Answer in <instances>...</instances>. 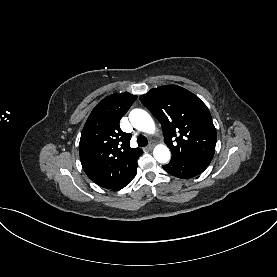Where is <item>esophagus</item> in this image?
<instances>
[{
	"label": "esophagus",
	"mask_w": 277,
	"mask_h": 277,
	"mask_svg": "<svg viewBox=\"0 0 277 277\" xmlns=\"http://www.w3.org/2000/svg\"><path fill=\"white\" fill-rule=\"evenodd\" d=\"M155 146V144L153 142L149 143V145L147 146L148 150H152L153 147Z\"/></svg>",
	"instance_id": "1"
}]
</instances>
